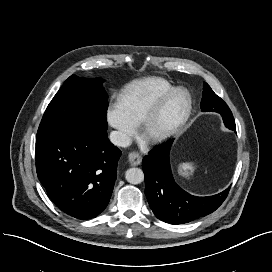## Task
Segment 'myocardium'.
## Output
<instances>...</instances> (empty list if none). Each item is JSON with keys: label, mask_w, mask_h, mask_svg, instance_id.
<instances>
[{"label": "myocardium", "mask_w": 272, "mask_h": 272, "mask_svg": "<svg viewBox=\"0 0 272 272\" xmlns=\"http://www.w3.org/2000/svg\"><path fill=\"white\" fill-rule=\"evenodd\" d=\"M170 106H175L177 117L162 123V116ZM191 110V97L184 88H174L159 100L146 116L143 136L150 142L163 141L175 134L187 121Z\"/></svg>", "instance_id": "f54148a6"}]
</instances>
